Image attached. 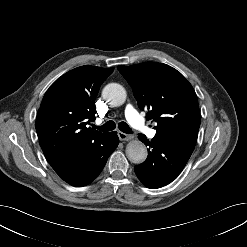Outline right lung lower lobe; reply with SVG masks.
Returning <instances> with one entry per match:
<instances>
[{
	"label": "right lung lower lobe",
	"mask_w": 247,
	"mask_h": 247,
	"mask_svg": "<svg viewBox=\"0 0 247 247\" xmlns=\"http://www.w3.org/2000/svg\"><path fill=\"white\" fill-rule=\"evenodd\" d=\"M118 143L117 132H110L90 144L67 151L50 165L68 184L85 186L100 174Z\"/></svg>",
	"instance_id": "obj_1"
}]
</instances>
